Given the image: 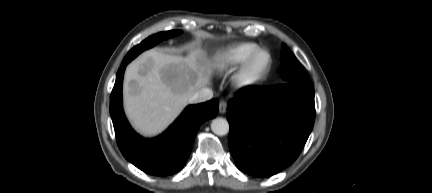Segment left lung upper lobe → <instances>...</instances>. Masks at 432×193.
<instances>
[{
  "instance_id": "1",
  "label": "left lung upper lobe",
  "mask_w": 432,
  "mask_h": 193,
  "mask_svg": "<svg viewBox=\"0 0 432 193\" xmlns=\"http://www.w3.org/2000/svg\"><path fill=\"white\" fill-rule=\"evenodd\" d=\"M280 74L287 83L310 84L305 69L285 44H282Z\"/></svg>"
}]
</instances>
